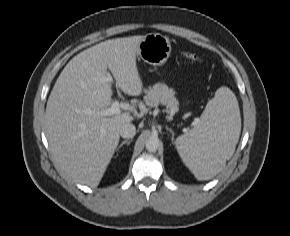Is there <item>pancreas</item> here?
<instances>
[{
    "instance_id": "1",
    "label": "pancreas",
    "mask_w": 290,
    "mask_h": 236,
    "mask_svg": "<svg viewBox=\"0 0 290 236\" xmlns=\"http://www.w3.org/2000/svg\"><path fill=\"white\" fill-rule=\"evenodd\" d=\"M144 102L149 107L166 106L170 113L178 111V101L173 89L166 84H156L146 91Z\"/></svg>"
}]
</instances>
